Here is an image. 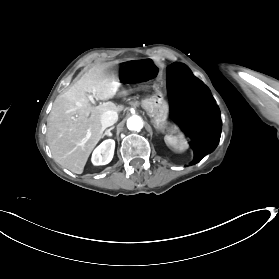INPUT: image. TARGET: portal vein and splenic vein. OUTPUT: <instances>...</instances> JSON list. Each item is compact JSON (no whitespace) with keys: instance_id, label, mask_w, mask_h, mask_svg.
<instances>
[{"instance_id":"1","label":"portal vein and splenic vein","mask_w":279,"mask_h":279,"mask_svg":"<svg viewBox=\"0 0 279 279\" xmlns=\"http://www.w3.org/2000/svg\"><path fill=\"white\" fill-rule=\"evenodd\" d=\"M90 104L92 105L93 108L97 107V101L93 98V96H91V101ZM102 134V133H101Z\"/></svg>"}]
</instances>
